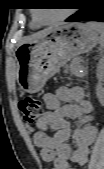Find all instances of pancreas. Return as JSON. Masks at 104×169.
<instances>
[{
	"instance_id": "pancreas-1",
	"label": "pancreas",
	"mask_w": 104,
	"mask_h": 169,
	"mask_svg": "<svg viewBox=\"0 0 104 169\" xmlns=\"http://www.w3.org/2000/svg\"><path fill=\"white\" fill-rule=\"evenodd\" d=\"M71 72L77 77H83L86 74V70L80 64V60L76 59L70 64Z\"/></svg>"
}]
</instances>
